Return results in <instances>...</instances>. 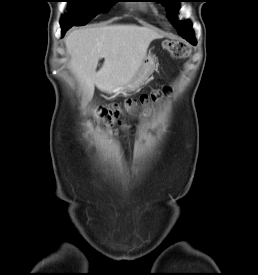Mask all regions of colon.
<instances>
[{
	"mask_svg": "<svg viewBox=\"0 0 258 275\" xmlns=\"http://www.w3.org/2000/svg\"><path fill=\"white\" fill-rule=\"evenodd\" d=\"M163 48L176 59H183L190 55L191 48L183 41L167 39L163 42ZM158 94H144L139 99H128L122 105L114 104L101 110V115L108 119L121 121L123 112H134L139 106L155 101Z\"/></svg>",
	"mask_w": 258,
	"mask_h": 275,
	"instance_id": "1",
	"label": "colon"
}]
</instances>
